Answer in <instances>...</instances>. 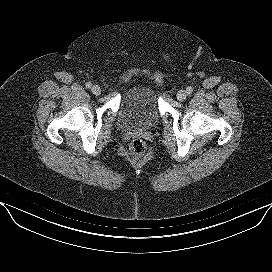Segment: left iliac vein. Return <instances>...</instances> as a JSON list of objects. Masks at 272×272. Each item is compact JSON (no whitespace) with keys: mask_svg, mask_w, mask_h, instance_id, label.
I'll use <instances>...</instances> for the list:
<instances>
[{"mask_svg":"<svg viewBox=\"0 0 272 272\" xmlns=\"http://www.w3.org/2000/svg\"><path fill=\"white\" fill-rule=\"evenodd\" d=\"M186 97H187V92L185 90L178 91V93H177V99L179 101H184L186 99Z\"/></svg>","mask_w":272,"mask_h":272,"instance_id":"obj_1","label":"left iliac vein"}]
</instances>
